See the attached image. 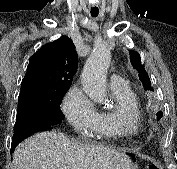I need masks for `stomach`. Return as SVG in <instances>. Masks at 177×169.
I'll list each match as a JSON object with an SVG mask.
<instances>
[{
	"mask_svg": "<svg viewBox=\"0 0 177 169\" xmlns=\"http://www.w3.org/2000/svg\"><path fill=\"white\" fill-rule=\"evenodd\" d=\"M131 158V167L129 169H144L143 165L136 160L135 157L130 156Z\"/></svg>",
	"mask_w": 177,
	"mask_h": 169,
	"instance_id": "0dacf381",
	"label": "stomach"
}]
</instances>
